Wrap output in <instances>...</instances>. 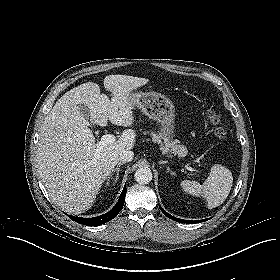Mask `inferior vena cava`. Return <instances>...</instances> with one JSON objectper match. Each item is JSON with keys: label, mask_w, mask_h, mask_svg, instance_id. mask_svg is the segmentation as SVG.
Here are the masks:
<instances>
[{"label": "inferior vena cava", "mask_w": 280, "mask_h": 280, "mask_svg": "<svg viewBox=\"0 0 280 280\" xmlns=\"http://www.w3.org/2000/svg\"><path fill=\"white\" fill-rule=\"evenodd\" d=\"M134 153L130 150H123L120 154H119V160L121 162H130L133 159Z\"/></svg>", "instance_id": "obj_1"}]
</instances>
